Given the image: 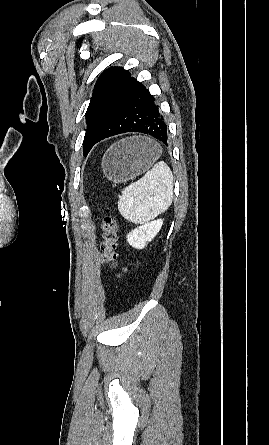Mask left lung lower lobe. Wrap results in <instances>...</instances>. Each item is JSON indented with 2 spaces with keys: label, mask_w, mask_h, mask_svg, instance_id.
Here are the masks:
<instances>
[{
  "label": "left lung lower lobe",
  "mask_w": 269,
  "mask_h": 445,
  "mask_svg": "<svg viewBox=\"0 0 269 445\" xmlns=\"http://www.w3.org/2000/svg\"><path fill=\"white\" fill-rule=\"evenodd\" d=\"M125 132L148 134L167 145L168 127L155 98L132 77L93 146L105 138Z\"/></svg>",
  "instance_id": "left-lung-lower-lobe-1"
}]
</instances>
